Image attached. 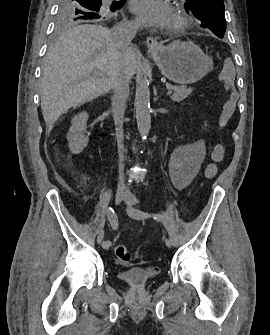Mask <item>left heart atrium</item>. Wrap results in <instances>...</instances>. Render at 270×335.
<instances>
[{
  "instance_id": "39dd6f15",
  "label": "left heart atrium",
  "mask_w": 270,
  "mask_h": 335,
  "mask_svg": "<svg viewBox=\"0 0 270 335\" xmlns=\"http://www.w3.org/2000/svg\"><path fill=\"white\" fill-rule=\"evenodd\" d=\"M131 9L141 26L152 33L171 29L177 22L174 11L163 0H134Z\"/></svg>"
}]
</instances>
